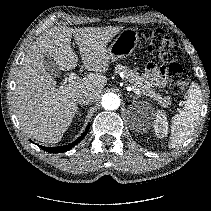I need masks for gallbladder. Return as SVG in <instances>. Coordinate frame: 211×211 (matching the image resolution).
Listing matches in <instances>:
<instances>
[{
	"label": "gallbladder",
	"instance_id": "bac80fb5",
	"mask_svg": "<svg viewBox=\"0 0 211 211\" xmlns=\"http://www.w3.org/2000/svg\"><path fill=\"white\" fill-rule=\"evenodd\" d=\"M43 64L46 68V70L54 76L60 75V70L58 69V66L54 62L53 58L47 55L43 56Z\"/></svg>",
	"mask_w": 211,
	"mask_h": 211
}]
</instances>
